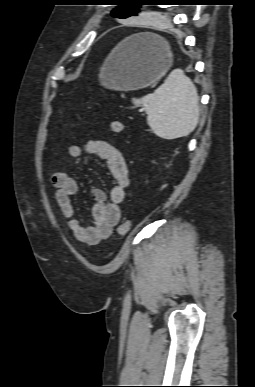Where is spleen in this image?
Wrapping results in <instances>:
<instances>
[{
  "instance_id": "obj_1",
  "label": "spleen",
  "mask_w": 255,
  "mask_h": 387,
  "mask_svg": "<svg viewBox=\"0 0 255 387\" xmlns=\"http://www.w3.org/2000/svg\"><path fill=\"white\" fill-rule=\"evenodd\" d=\"M132 102L144 107L148 125L163 139L189 135L199 121L197 89L181 69L171 71L153 93Z\"/></svg>"
}]
</instances>
